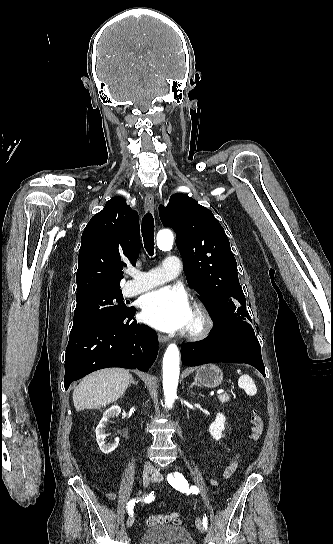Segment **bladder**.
<instances>
[{"instance_id":"bladder-1","label":"bladder","mask_w":333,"mask_h":544,"mask_svg":"<svg viewBox=\"0 0 333 544\" xmlns=\"http://www.w3.org/2000/svg\"><path fill=\"white\" fill-rule=\"evenodd\" d=\"M139 544H194V540L183 527L163 525L145 530Z\"/></svg>"}]
</instances>
